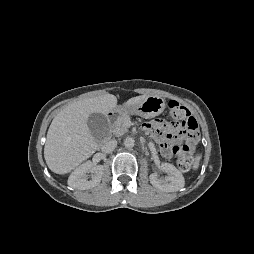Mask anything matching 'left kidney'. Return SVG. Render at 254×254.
Segmentation results:
<instances>
[{"mask_svg": "<svg viewBox=\"0 0 254 254\" xmlns=\"http://www.w3.org/2000/svg\"><path fill=\"white\" fill-rule=\"evenodd\" d=\"M161 170L167 173L165 179L158 178L156 174L149 176L150 183L157 189L164 192L178 191L184 187L185 181L181 172L172 164L162 163Z\"/></svg>", "mask_w": 254, "mask_h": 254, "instance_id": "left-kidney-1", "label": "left kidney"}]
</instances>
